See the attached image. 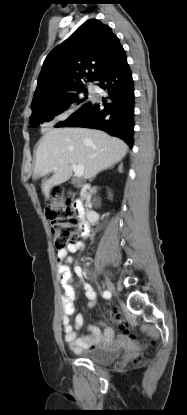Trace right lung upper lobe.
<instances>
[{
  "mask_svg": "<svg viewBox=\"0 0 187 415\" xmlns=\"http://www.w3.org/2000/svg\"><path fill=\"white\" fill-rule=\"evenodd\" d=\"M109 26L91 19L46 57L31 108L53 104L82 87L81 79H95L123 52Z\"/></svg>",
  "mask_w": 187,
  "mask_h": 415,
  "instance_id": "right-lung-upper-lobe-1",
  "label": "right lung upper lobe"
}]
</instances>
